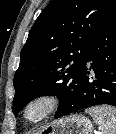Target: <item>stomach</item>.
I'll use <instances>...</instances> for the list:
<instances>
[{
  "label": "stomach",
  "instance_id": "0dacf381",
  "mask_svg": "<svg viewBox=\"0 0 116 134\" xmlns=\"http://www.w3.org/2000/svg\"><path fill=\"white\" fill-rule=\"evenodd\" d=\"M92 122L81 115H71L51 122L38 134H91Z\"/></svg>",
  "mask_w": 116,
  "mask_h": 134
}]
</instances>
